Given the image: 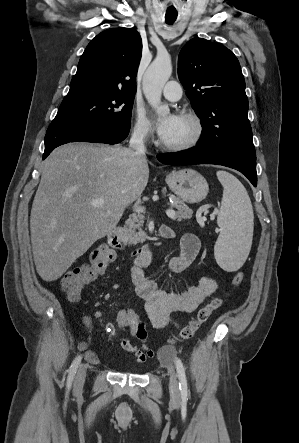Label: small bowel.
I'll list each match as a JSON object with an SVG mask.
<instances>
[{"label":"small bowel","mask_w":299,"mask_h":443,"mask_svg":"<svg viewBox=\"0 0 299 443\" xmlns=\"http://www.w3.org/2000/svg\"><path fill=\"white\" fill-rule=\"evenodd\" d=\"M169 233L168 238H173L175 232L167 226H163ZM200 248V242L196 235L187 233L183 236L178 255L172 256L168 260V268L172 272H181L188 268L196 258ZM143 266L137 262L132 266L130 274L135 286L137 295L143 300V307L146 316L152 326L157 329L165 328L169 325H175L172 315L176 312L193 313L197 308L210 297L217 289L215 280L208 276L200 279L196 286L187 288L183 292L166 291L162 289L155 281L148 279L143 270ZM102 314L95 312L92 318L100 319ZM108 335L114 336L117 329L113 323H107L105 327ZM147 331L144 322V336L139 339L140 347L131 343L128 338L121 340V345L125 350L126 356H132L133 359L142 364L148 359L154 357V351L146 345ZM88 358L95 361L94 353H88Z\"/></svg>","instance_id":"1"}]
</instances>
